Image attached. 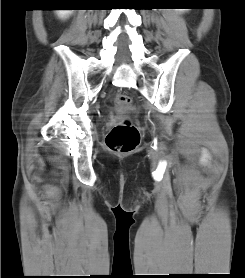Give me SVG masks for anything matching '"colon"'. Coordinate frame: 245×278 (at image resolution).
<instances>
[{
	"label": "colon",
	"instance_id": "colon-1",
	"mask_svg": "<svg viewBox=\"0 0 245 278\" xmlns=\"http://www.w3.org/2000/svg\"><path fill=\"white\" fill-rule=\"evenodd\" d=\"M114 102L117 108L125 109L131 106L132 100L129 96L118 93ZM140 142V130L129 120L115 125L106 137L107 147L116 153L131 152L135 150Z\"/></svg>",
	"mask_w": 245,
	"mask_h": 278
}]
</instances>
